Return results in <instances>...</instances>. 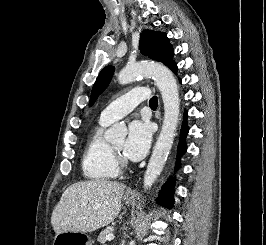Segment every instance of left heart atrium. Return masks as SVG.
Returning <instances> with one entry per match:
<instances>
[{"label": "left heart atrium", "instance_id": "1", "mask_svg": "<svg viewBox=\"0 0 266 245\" xmlns=\"http://www.w3.org/2000/svg\"><path fill=\"white\" fill-rule=\"evenodd\" d=\"M151 129L146 121L135 120L128 126L127 137L123 143L122 153L132 162L141 160L150 145Z\"/></svg>", "mask_w": 266, "mask_h": 245}]
</instances>
